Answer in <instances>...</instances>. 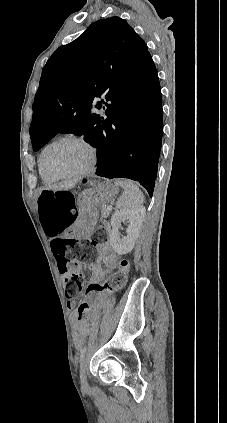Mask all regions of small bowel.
I'll return each instance as SVG.
<instances>
[{"label": "small bowel", "instance_id": "1", "mask_svg": "<svg viewBox=\"0 0 227 423\" xmlns=\"http://www.w3.org/2000/svg\"><path fill=\"white\" fill-rule=\"evenodd\" d=\"M51 237V247L52 244L57 240L60 239L59 237ZM99 250V259L97 262L90 264L89 269L91 271L90 276V283L91 284H99L101 280L104 278L106 273L113 271L118 265V258L111 250L108 243L100 244L98 247ZM53 251V248H52ZM101 263L104 264L105 268L102 267ZM67 306L69 309H73L75 307V301L69 300L67 302ZM98 312H94L90 320L85 318H81L78 313L74 312L71 315V324L73 329L75 330V343L77 346H81L89 334L91 325L97 320Z\"/></svg>", "mask_w": 227, "mask_h": 423}]
</instances>
